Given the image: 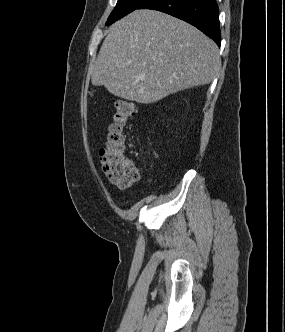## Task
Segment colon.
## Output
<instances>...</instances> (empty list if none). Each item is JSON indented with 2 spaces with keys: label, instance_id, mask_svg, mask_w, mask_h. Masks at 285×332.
<instances>
[{
  "label": "colon",
  "instance_id": "5ec220e1",
  "mask_svg": "<svg viewBox=\"0 0 285 332\" xmlns=\"http://www.w3.org/2000/svg\"><path fill=\"white\" fill-rule=\"evenodd\" d=\"M136 114V105L120 99L115 104L113 122L100 150V162L107 179L120 188H129L138 182V166L125 155L124 127Z\"/></svg>",
  "mask_w": 285,
  "mask_h": 332
}]
</instances>
